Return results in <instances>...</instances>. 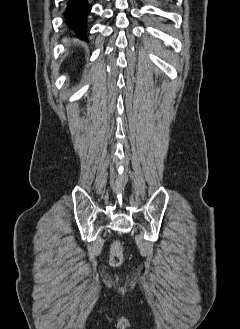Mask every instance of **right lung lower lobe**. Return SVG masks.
I'll list each match as a JSON object with an SVG mask.
<instances>
[{
  "label": "right lung lower lobe",
  "instance_id": "right-lung-lower-lobe-1",
  "mask_svg": "<svg viewBox=\"0 0 240 329\" xmlns=\"http://www.w3.org/2000/svg\"><path fill=\"white\" fill-rule=\"evenodd\" d=\"M91 7L87 0H68L64 12L67 26L75 31L79 37L85 38L87 16Z\"/></svg>",
  "mask_w": 240,
  "mask_h": 329
}]
</instances>
